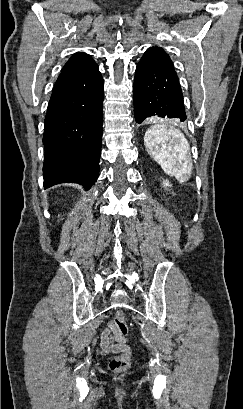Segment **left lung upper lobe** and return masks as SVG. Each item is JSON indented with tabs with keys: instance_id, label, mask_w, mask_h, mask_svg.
Returning a JSON list of instances; mask_svg holds the SVG:
<instances>
[{
	"instance_id": "5c2ea615",
	"label": "left lung upper lobe",
	"mask_w": 243,
	"mask_h": 409,
	"mask_svg": "<svg viewBox=\"0 0 243 409\" xmlns=\"http://www.w3.org/2000/svg\"><path fill=\"white\" fill-rule=\"evenodd\" d=\"M141 61L174 70V66L169 55L161 47L155 46L147 49V51L142 56Z\"/></svg>"
}]
</instances>
